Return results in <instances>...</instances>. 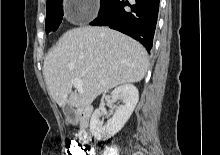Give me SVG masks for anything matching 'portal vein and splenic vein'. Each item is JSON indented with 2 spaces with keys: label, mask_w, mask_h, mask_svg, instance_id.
Segmentation results:
<instances>
[{
  "label": "portal vein and splenic vein",
  "mask_w": 220,
  "mask_h": 155,
  "mask_svg": "<svg viewBox=\"0 0 220 155\" xmlns=\"http://www.w3.org/2000/svg\"><path fill=\"white\" fill-rule=\"evenodd\" d=\"M75 88H77L79 91H82V80L79 78H75L72 81Z\"/></svg>",
  "instance_id": "portal-vein-and-splenic-vein-1"
}]
</instances>
